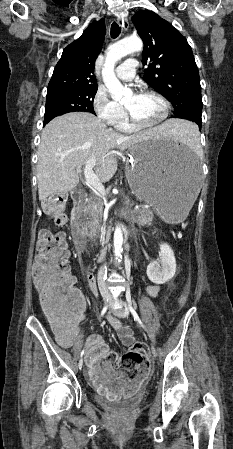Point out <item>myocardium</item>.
<instances>
[{
  "label": "myocardium",
  "instance_id": "myocardium-1",
  "mask_svg": "<svg viewBox=\"0 0 233 449\" xmlns=\"http://www.w3.org/2000/svg\"><path fill=\"white\" fill-rule=\"evenodd\" d=\"M138 95H150V96L157 98L163 105V113H162L161 117L154 122H141L131 113V111L126 106H124L125 113L129 119V121L131 122V124L133 126H135L136 128H140V129H150V128H154V127L162 124L167 119V117L169 115V111H170V104L166 100V98L164 96H162L160 93L153 91V90H143V91L139 92Z\"/></svg>",
  "mask_w": 233,
  "mask_h": 449
}]
</instances>
